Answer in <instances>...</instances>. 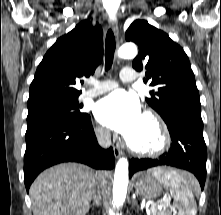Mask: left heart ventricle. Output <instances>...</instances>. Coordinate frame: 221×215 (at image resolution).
<instances>
[{
    "mask_svg": "<svg viewBox=\"0 0 221 215\" xmlns=\"http://www.w3.org/2000/svg\"><path fill=\"white\" fill-rule=\"evenodd\" d=\"M128 139L138 147L150 148L157 142V132L150 122L142 119L136 132Z\"/></svg>",
    "mask_w": 221,
    "mask_h": 215,
    "instance_id": "left-heart-ventricle-1",
    "label": "left heart ventricle"
}]
</instances>
